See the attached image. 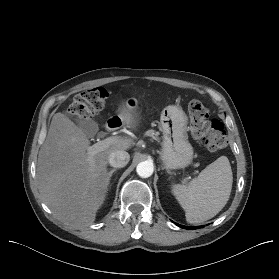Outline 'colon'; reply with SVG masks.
<instances>
[{
	"instance_id": "5ec220e1",
	"label": "colon",
	"mask_w": 279,
	"mask_h": 279,
	"mask_svg": "<svg viewBox=\"0 0 279 279\" xmlns=\"http://www.w3.org/2000/svg\"><path fill=\"white\" fill-rule=\"evenodd\" d=\"M107 99L108 92L105 88L87 89L75 96L69 111L79 118H89L105 107ZM188 115L192 135L201 140L207 149L226 147L227 136L223 124L218 120H210L208 110L200 101L189 102Z\"/></svg>"
}]
</instances>
